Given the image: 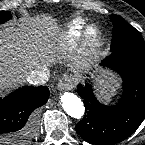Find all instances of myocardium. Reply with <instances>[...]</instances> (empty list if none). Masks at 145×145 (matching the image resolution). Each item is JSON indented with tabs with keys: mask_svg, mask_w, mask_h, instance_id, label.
<instances>
[{
	"mask_svg": "<svg viewBox=\"0 0 145 145\" xmlns=\"http://www.w3.org/2000/svg\"><path fill=\"white\" fill-rule=\"evenodd\" d=\"M102 44V33L98 26L90 24L82 31V49L87 55L95 54Z\"/></svg>",
	"mask_w": 145,
	"mask_h": 145,
	"instance_id": "obj_1",
	"label": "myocardium"
}]
</instances>
